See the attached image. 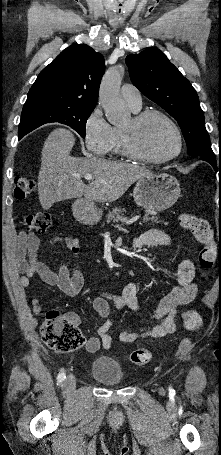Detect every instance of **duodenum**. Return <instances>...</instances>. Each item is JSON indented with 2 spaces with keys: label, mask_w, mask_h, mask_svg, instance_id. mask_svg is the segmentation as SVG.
Returning a JSON list of instances; mask_svg holds the SVG:
<instances>
[{
  "label": "duodenum",
  "mask_w": 221,
  "mask_h": 455,
  "mask_svg": "<svg viewBox=\"0 0 221 455\" xmlns=\"http://www.w3.org/2000/svg\"><path fill=\"white\" fill-rule=\"evenodd\" d=\"M83 214L82 213H79V216L81 217ZM136 245V244H135Z\"/></svg>",
  "instance_id": "410a0bca"
}]
</instances>
